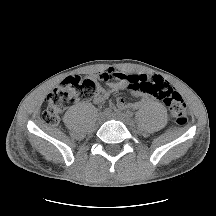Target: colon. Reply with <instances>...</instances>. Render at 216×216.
<instances>
[{
    "instance_id": "colon-1",
    "label": "colon",
    "mask_w": 216,
    "mask_h": 216,
    "mask_svg": "<svg viewBox=\"0 0 216 216\" xmlns=\"http://www.w3.org/2000/svg\"><path fill=\"white\" fill-rule=\"evenodd\" d=\"M135 88L151 92L162 99L179 126L187 123V106L182 96L167 82L136 83ZM98 86L96 81L80 76H69L55 87L47 98L42 119L47 124H57L60 114L79 100H88L95 96Z\"/></svg>"
}]
</instances>
